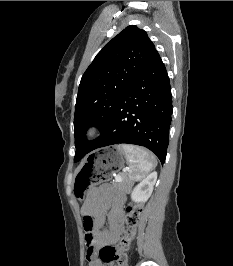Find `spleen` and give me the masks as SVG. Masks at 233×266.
<instances>
[{"mask_svg":"<svg viewBox=\"0 0 233 266\" xmlns=\"http://www.w3.org/2000/svg\"><path fill=\"white\" fill-rule=\"evenodd\" d=\"M125 154L130 181H139L144 178L157 165L155 157L147 150L133 145L119 146Z\"/></svg>","mask_w":233,"mask_h":266,"instance_id":"spleen-1","label":"spleen"}]
</instances>
